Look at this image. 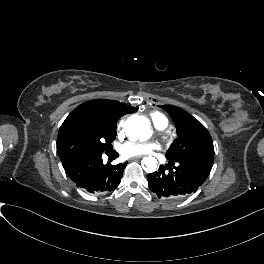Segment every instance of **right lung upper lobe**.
<instances>
[{
  "label": "right lung upper lobe",
  "mask_w": 264,
  "mask_h": 264,
  "mask_svg": "<svg viewBox=\"0 0 264 264\" xmlns=\"http://www.w3.org/2000/svg\"><path fill=\"white\" fill-rule=\"evenodd\" d=\"M100 105L77 107L61 125L57 152L63 167L75 183L89 178L105 167L102 154H113L111 142L116 137L117 121L133 108L117 101L97 100Z\"/></svg>",
  "instance_id": "right-lung-upper-lobe-1"
}]
</instances>
